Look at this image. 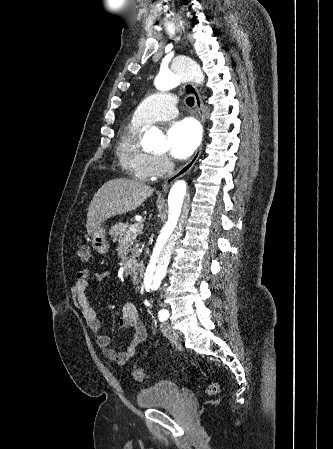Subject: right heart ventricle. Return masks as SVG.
Returning <instances> with one entry per match:
<instances>
[{"instance_id": "right-heart-ventricle-1", "label": "right heart ventricle", "mask_w": 333, "mask_h": 449, "mask_svg": "<svg viewBox=\"0 0 333 449\" xmlns=\"http://www.w3.org/2000/svg\"><path fill=\"white\" fill-rule=\"evenodd\" d=\"M147 128L134 118L118 135L117 155L123 167L136 179L147 181L155 178L153 155L141 146V135Z\"/></svg>"}]
</instances>
